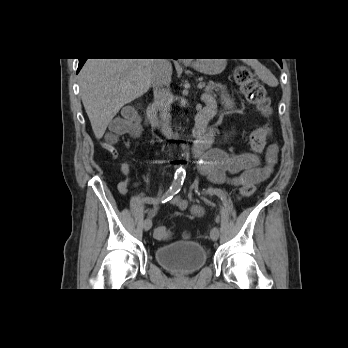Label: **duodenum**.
<instances>
[{"label":"duodenum","instance_id":"duodenum-1","mask_svg":"<svg viewBox=\"0 0 348 348\" xmlns=\"http://www.w3.org/2000/svg\"><path fill=\"white\" fill-rule=\"evenodd\" d=\"M215 112V107H203L196 116V124L193 127L192 134L197 140L196 149L204 150L209 141L210 135L208 132V124ZM147 118L150 124L157 128L165 136H173L178 134L170 126L160 122L157 116V107L155 104H151L147 109Z\"/></svg>","mask_w":348,"mask_h":348}]
</instances>
